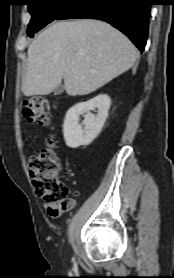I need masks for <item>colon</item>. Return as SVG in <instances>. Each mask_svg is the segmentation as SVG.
Segmentation results:
<instances>
[{"label":"colon","instance_id":"obj_1","mask_svg":"<svg viewBox=\"0 0 174 278\" xmlns=\"http://www.w3.org/2000/svg\"><path fill=\"white\" fill-rule=\"evenodd\" d=\"M22 118L30 123L48 125L50 115L45 99L40 97L26 99L23 105ZM29 167L37 195L44 198L49 205L66 203L69 199V189L59 179V157L53 139H48L46 147L31 156Z\"/></svg>","mask_w":174,"mask_h":278}]
</instances>
